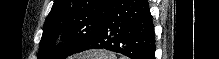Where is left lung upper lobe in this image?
<instances>
[{"mask_svg": "<svg viewBox=\"0 0 219 59\" xmlns=\"http://www.w3.org/2000/svg\"><path fill=\"white\" fill-rule=\"evenodd\" d=\"M113 0H54L39 44L38 59H64L89 41ZM64 44L55 47L56 39Z\"/></svg>", "mask_w": 219, "mask_h": 59, "instance_id": "left-lung-upper-lobe-1", "label": "left lung upper lobe"}]
</instances>
